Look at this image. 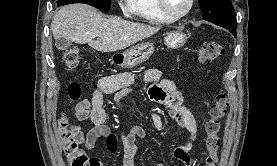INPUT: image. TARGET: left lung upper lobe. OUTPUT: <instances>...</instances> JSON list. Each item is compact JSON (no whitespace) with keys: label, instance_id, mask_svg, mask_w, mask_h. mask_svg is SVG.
Instances as JSON below:
<instances>
[{"label":"left lung upper lobe","instance_id":"obj_1","mask_svg":"<svg viewBox=\"0 0 277 166\" xmlns=\"http://www.w3.org/2000/svg\"><path fill=\"white\" fill-rule=\"evenodd\" d=\"M204 20L228 29L236 36V18L231 0H199Z\"/></svg>","mask_w":277,"mask_h":166}]
</instances>
